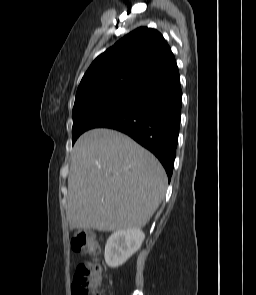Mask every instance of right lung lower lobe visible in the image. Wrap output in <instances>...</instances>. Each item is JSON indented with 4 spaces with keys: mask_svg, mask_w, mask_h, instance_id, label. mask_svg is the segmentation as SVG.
Listing matches in <instances>:
<instances>
[{
    "mask_svg": "<svg viewBox=\"0 0 256 295\" xmlns=\"http://www.w3.org/2000/svg\"><path fill=\"white\" fill-rule=\"evenodd\" d=\"M182 91L174 60L136 92L133 102L99 127L121 131L150 150L170 180L179 135Z\"/></svg>",
    "mask_w": 256,
    "mask_h": 295,
    "instance_id": "right-lung-lower-lobe-1",
    "label": "right lung lower lobe"
}]
</instances>
